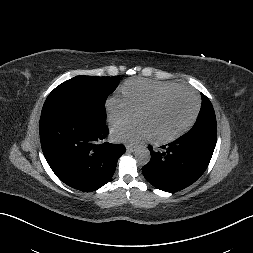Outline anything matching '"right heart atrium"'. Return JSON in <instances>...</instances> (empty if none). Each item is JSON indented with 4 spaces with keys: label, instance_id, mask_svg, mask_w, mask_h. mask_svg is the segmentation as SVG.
<instances>
[{
    "label": "right heart atrium",
    "instance_id": "d8ad5b80",
    "mask_svg": "<svg viewBox=\"0 0 253 253\" xmlns=\"http://www.w3.org/2000/svg\"><path fill=\"white\" fill-rule=\"evenodd\" d=\"M105 107L108 115V121L111 125L126 123L134 116L135 113L128 102L122 97H110L106 101Z\"/></svg>",
    "mask_w": 253,
    "mask_h": 253
}]
</instances>
